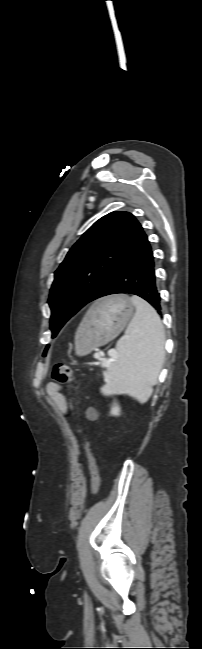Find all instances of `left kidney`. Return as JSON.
Segmentation results:
<instances>
[{
  "label": "left kidney",
  "instance_id": "left-kidney-1",
  "mask_svg": "<svg viewBox=\"0 0 202 649\" xmlns=\"http://www.w3.org/2000/svg\"><path fill=\"white\" fill-rule=\"evenodd\" d=\"M120 412H121V410H120L119 405L116 402H114L112 407H111L110 414L113 415V416H119Z\"/></svg>",
  "mask_w": 202,
  "mask_h": 649
}]
</instances>
